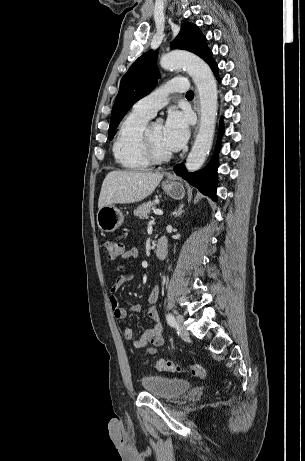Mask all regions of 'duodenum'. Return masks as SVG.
Here are the masks:
<instances>
[{
    "instance_id": "410a0bca",
    "label": "duodenum",
    "mask_w": 305,
    "mask_h": 461,
    "mask_svg": "<svg viewBox=\"0 0 305 461\" xmlns=\"http://www.w3.org/2000/svg\"><path fill=\"white\" fill-rule=\"evenodd\" d=\"M168 251V243L166 239L160 238L157 241L156 244V256L160 259L163 260L165 259Z\"/></svg>"
}]
</instances>
